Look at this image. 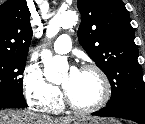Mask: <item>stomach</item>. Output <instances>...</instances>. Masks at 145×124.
Masks as SVG:
<instances>
[{
	"label": "stomach",
	"instance_id": "1",
	"mask_svg": "<svg viewBox=\"0 0 145 124\" xmlns=\"http://www.w3.org/2000/svg\"><path fill=\"white\" fill-rule=\"evenodd\" d=\"M74 124H115L114 121L101 118H82L74 122Z\"/></svg>",
	"mask_w": 145,
	"mask_h": 124
}]
</instances>
